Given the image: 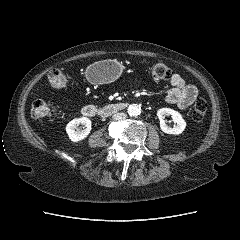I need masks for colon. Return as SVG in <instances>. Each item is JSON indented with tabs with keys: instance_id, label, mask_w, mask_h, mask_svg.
<instances>
[{
	"instance_id": "5ec220e1",
	"label": "colon",
	"mask_w": 240,
	"mask_h": 240,
	"mask_svg": "<svg viewBox=\"0 0 240 240\" xmlns=\"http://www.w3.org/2000/svg\"><path fill=\"white\" fill-rule=\"evenodd\" d=\"M169 67L162 61L155 62L150 69V76L156 81L166 80L170 77ZM69 81V76L63 68H54L49 73V84L54 89L64 88ZM208 104L204 98H199L192 110V119L201 122L207 112ZM59 111L57 105L45 99H37L32 105V114L36 118H50Z\"/></svg>"
}]
</instances>
